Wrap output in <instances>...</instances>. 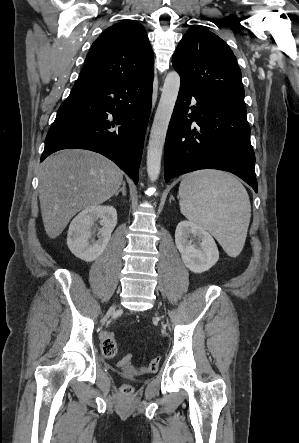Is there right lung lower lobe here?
Listing matches in <instances>:
<instances>
[{
  "label": "right lung lower lobe",
  "mask_w": 299,
  "mask_h": 443,
  "mask_svg": "<svg viewBox=\"0 0 299 443\" xmlns=\"http://www.w3.org/2000/svg\"><path fill=\"white\" fill-rule=\"evenodd\" d=\"M152 86L153 75L73 87L47 133L41 161L58 150L87 149L114 161L137 184Z\"/></svg>",
  "instance_id": "1"
}]
</instances>
